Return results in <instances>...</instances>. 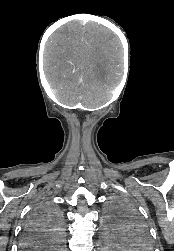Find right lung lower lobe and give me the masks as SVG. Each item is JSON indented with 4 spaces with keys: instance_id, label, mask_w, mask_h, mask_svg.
I'll use <instances>...</instances> for the list:
<instances>
[{
    "instance_id": "98d812e1",
    "label": "right lung lower lobe",
    "mask_w": 174,
    "mask_h": 251,
    "mask_svg": "<svg viewBox=\"0 0 174 251\" xmlns=\"http://www.w3.org/2000/svg\"><path fill=\"white\" fill-rule=\"evenodd\" d=\"M30 232H33V230H31L29 228V226L26 227L25 231H24V235H23V239H22V242H21V246L23 244V242H25L27 239H26V236L29 235ZM23 249V248H22ZM25 250V249H23ZM35 250V249H34ZM29 251H33V250H29Z\"/></svg>"
}]
</instances>
